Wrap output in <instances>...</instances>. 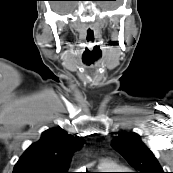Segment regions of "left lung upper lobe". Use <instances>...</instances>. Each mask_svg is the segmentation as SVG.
Returning a JSON list of instances; mask_svg holds the SVG:
<instances>
[{
    "instance_id": "5c2ea615",
    "label": "left lung upper lobe",
    "mask_w": 173,
    "mask_h": 173,
    "mask_svg": "<svg viewBox=\"0 0 173 173\" xmlns=\"http://www.w3.org/2000/svg\"><path fill=\"white\" fill-rule=\"evenodd\" d=\"M111 145L138 170L136 173H164L154 154L144 145L137 133L117 136Z\"/></svg>"
}]
</instances>
